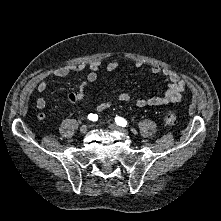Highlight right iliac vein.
I'll use <instances>...</instances> for the list:
<instances>
[{"instance_id": "1", "label": "right iliac vein", "mask_w": 221, "mask_h": 221, "mask_svg": "<svg viewBox=\"0 0 221 221\" xmlns=\"http://www.w3.org/2000/svg\"><path fill=\"white\" fill-rule=\"evenodd\" d=\"M87 130H88V128H87L86 125H82V126L80 127V132H81L82 134H85V133L87 132Z\"/></svg>"}]
</instances>
